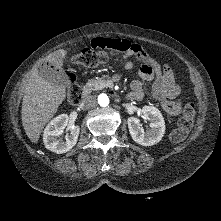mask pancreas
<instances>
[{"mask_svg":"<svg viewBox=\"0 0 221 221\" xmlns=\"http://www.w3.org/2000/svg\"><path fill=\"white\" fill-rule=\"evenodd\" d=\"M113 82L108 76H103L98 79H91L86 84V89L89 91L101 90L103 88L112 87Z\"/></svg>","mask_w":221,"mask_h":221,"instance_id":"cf45deb5","label":"pancreas"}]
</instances>
